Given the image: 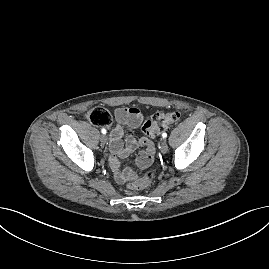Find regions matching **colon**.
Returning a JSON list of instances; mask_svg holds the SVG:
<instances>
[{"label": "colon", "mask_w": 269, "mask_h": 269, "mask_svg": "<svg viewBox=\"0 0 269 269\" xmlns=\"http://www.w3.org/2000/svg\"><path fill=\"white\" fill-rule=\"evenodd\" d=\"M179 116V113L175 111L157 112L144 123L142 131L147 137L153 138L172 127L178 121ZM86 117L96 126H109L112 123L109 111L103 107L92 108L87 112ZM154 177L155 172L147 170L139 178H134L129 187L134 190L145 188L153 181Z\"/></svg>", "instance_id": "5ec220e1"}]
</instances>
